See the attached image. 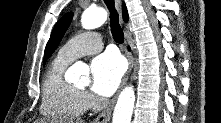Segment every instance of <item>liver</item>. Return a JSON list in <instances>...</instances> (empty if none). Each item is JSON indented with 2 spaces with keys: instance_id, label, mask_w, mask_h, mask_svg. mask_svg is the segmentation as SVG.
<instances>
[{
  "instance_id": "obj_1",
  "label": "liver",
  "mask_w": 221,
  "mask_h": 123,
  "mask_svg": "<svg viewBox=\"0 0 221 123\" xmlns=\"http://www.w3.org/2000/svg\"><path fill=\"white\" fill-rule=\"evenodd\" d=\"M67 121H68V123H84V121L81 119H77V120L69 119ZM35 123H46V120H44V119L37 120Z\"/></svg>"
}]
</instances>
